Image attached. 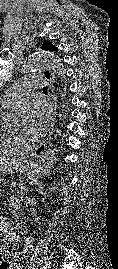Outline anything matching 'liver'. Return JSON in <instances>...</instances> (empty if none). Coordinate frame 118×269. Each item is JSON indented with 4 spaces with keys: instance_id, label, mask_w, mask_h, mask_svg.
Returning <instances> with one entry per match:
<instances>
[{
    "instance_id": "1",
    "label": "liver",
    "mask_w": 118,
    "mask_h": 269,
    "mask_svg": "<svg viewBox=\"0 0 118 269\" xmlns=\"http://www.w3.org/2000/svg\"><path fill=\"white\" fill-rule=\"evenodd\" d=\"M19 164H22V162L0 157V170H13Z\"/></svg>"
}]
</instances>
